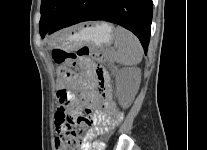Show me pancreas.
<instances>
[{
    "instance_id": "1",
    "label": "pancreas",
    "mask_w": 207,
    "mask_h": 150,
    "mask_svg": "<svg viewBox=\"0 0 207 150\" xmlns=\"http://www.w3.org/2000/svg\"><path fill=\"white\" fill-rule=\"evenodd\" d=\"M103 56H104L105 60H107V61H114V55L111 51L104 52Z\"/></svg>"
}]
</instances>
